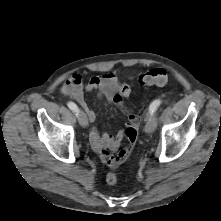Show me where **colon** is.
<instances>
[{"label": "colon", "instance_id": "colon-1", "mask_svg": "<svg viewBox=\"0 0 221 221\" xmlns=\"http://www.w3.org/2000/svg\"><path fill=\"white\" fill-rule=\"evenodd\" d=\"M168 81L167 72L162 68H152L140 75L139 82L144 86H163ZM130 87L126 84L122 85L119 92L114 98V102L124 108V100L130 95ZM139 121L127 127L125 131L126 146L117 154L111 156L106 164L111 168H116L123 160L131 153L138 136ZM118 181V174L111 170L106 174V182L109 185H114Z\"/></svg>", "mask_w": 221, "mask_h": 221}]
</instances>
